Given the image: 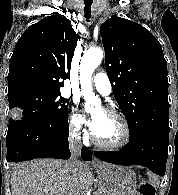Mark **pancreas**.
Wrapping results in <instances>:
<instances>
[{
	"instance_id": "1",
	"label": "pancreas",
	"mask_w": 178,
	"mask_h": 195,
	"mask_svg": "<svg viewBox=\"0 0 178 195\" xmlns=\"http://www.w3.org/2000/svg\"><path fill=\"white\" fill-rule=\"evenodd\" d=\"M95 195H102L100 192H97Z\"/></svg>"
}]
</instances>
